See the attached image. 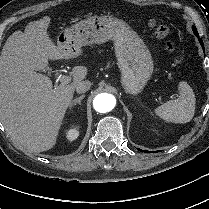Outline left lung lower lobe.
<instances>
[{
  "mask_svg": "<svg viewBox=\"0 0 209 209\" xmlns=\"http://www.w3.org/2000/svg\"><path fill=\"white\" fill-rule=\"evenodd\" d=\"M192 30H193L195 36L198 37L199 42H200V44H201V46H202V48H203V51H205L203 41H202V39L199 38V34H198V31H197L196 27L193 26V27H192ZM138 150L141 151V152H149V151H143V150H141V149H138ZM151 153H153V151H151Z\"/></svg>",
  "mask_w": 209,
  "mask_h": 209,
  "instance_id": "left-lung-lower-lobe-1",
  "label": "left lung lower lobe"
}]
</instances>
